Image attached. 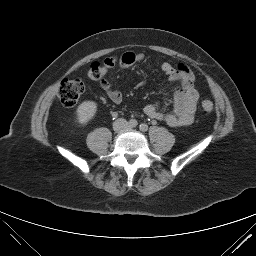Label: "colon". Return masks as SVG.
I'll list each match as a JSON object with an SVG mask.
<instances>
[{"label":"colon","mask_w":256,"mask_h":256,"mask_svg":"<svg viewBox=\"0 0 256 256\" xmlns=\"http://www.w3.org/2000/svg\"><path fill=\"white\" fill-rule=\"evenodd\" d=\"M88 77L92 80H100L103 77V64L94 62L88 70ZM84 91V83L80 78L64 79L58 90L60 102L66 107L76 105ZM202 109L205 113H211L214 109L213 103L209 100L202 102Z\"/></svg>","instance_id":"1"}]
</instances>
